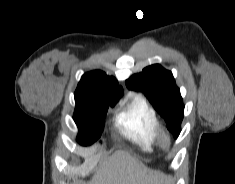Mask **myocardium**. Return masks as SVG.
Returning a JSON list of instances; mask_svg holds the SVG:
<instances>
[{"label":"myocardium","instance_id":"myocardium-1","mask_svg":"<svg viewBox=\"0 0 235 184\" xmlns=\"http://www.w3.org/2000/svg\"><path fill=\"white\" fill-rule=\"evenodd\" d=\"M155 138L156 143L160 148L169 150L173 147V138L169 131L164 127H158Z\"/></svg>","mask_w":235,"mask_h":184}]
</instances>
